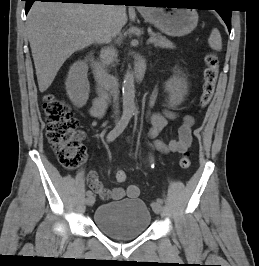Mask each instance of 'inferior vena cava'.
Masks as SVG:
<instances>
[{
    "instance_id": "1",
    "label": "inferior vena cava",
    "mask_w": 259,
    "mask_h": 266,
    "mask_svg": "<svg viewBox=\"0 0 259 266\" xmlns=\"http://www.w3.org/2000/svg\"><path fill=\"white\" fill-rule=\"evenodd\" d=\"M114 7L117 8L119 7V5H114ZM119 31H120V28L117 25V23H112L111 25H109L106 30V40L108 42L111 41L114 37H116ZM112 96H113L115 113L117 114L119 112L118 111V85L115 79L113 80Z\"/></svg>"
}]
</instances>
